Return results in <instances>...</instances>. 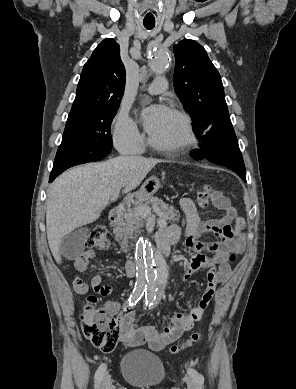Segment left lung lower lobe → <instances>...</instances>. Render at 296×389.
<instances>
[{"instance_id": "1", "label": "left lung lower lobe", "mask_w": 296, "mask_h": 389, "mask_svg": "<svg viewBox=\"0 0 296 389\" xmlns=\"http://www.w3.org/2000/svg\"><path fill=\"white\" fill-rule=\"evenodd\" d=\"M198 149L191 151L195 160L225 166L246 181V170L230 116L217 120L199 139Z\"/></svg>"}]
</instances>
